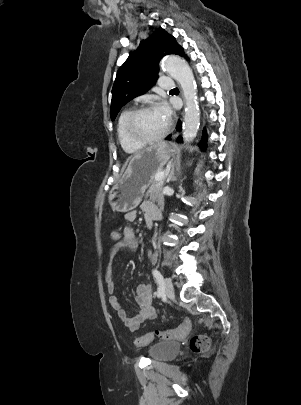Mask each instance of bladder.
<instances>
[{
  "label": "bladder",
  "instance_id": "1",
  "mask_svg": "<svg viewBox=\"0 0 301 405\" xmlns=\"http://www.w3.org/2000/svg\"><path fill=\"white\" fill-rule=\"evenodd\" d=\"M179 349L180 346L177 342L161 341L149 347V355L153 360L167 361L174 358Z\"/></svg>",
  "mask_w": 301,
  "mask_h": 405
}]
</instances>
